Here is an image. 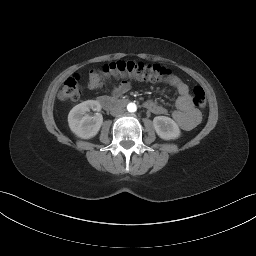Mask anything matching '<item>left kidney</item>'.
<instances>
[{"instance_id":"left-kidney-1","label":"left kidney","mask_w":256,"mask_h":256,"mask_svg":"<svg viewBox=\"0 0 256 256\" xmlns=\"http://www.w3.org/2000/svg\"><path fill=\"white\" fill-rule=\"evenodd\" d=\"M153 126L161 139L174 140L180 136V129L177 123L169 117L156 116L153 119Z\"/></svg>"}]
</instances>
